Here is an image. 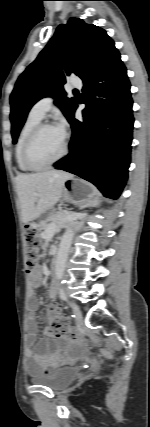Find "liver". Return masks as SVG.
I'll return each mask as SVG.
<instances>
[{"label": "liver", "instance_id": "1", "mask_svg": "<svg viewBox=\"0 0 150 427\" xmlns=\"http://www.w3.org/2000/svg\"><path fill=\"white\" fill-rule=\"evenodd\" d=\"M72 175L63 171L20 174L16 185L22 221L28 223L51 209L61 198L64 182Z\"/></svg>", "mask_w": 150, "mask_h": 427}]
</instances>
